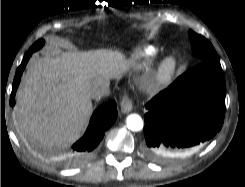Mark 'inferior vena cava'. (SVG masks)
I'll return each instance as SVG.
<instances>
[{"mask_svg":"<svg viewBox=\"0 0 245 187\" xmlns=\"http://www.w3.org/2000/svg\"><path fill=\"white\" fill-rule=\"evenodd\" d=\"M110 94L109 82H101L96 84L90 91V97L94 100H100Z\"/></svg>","mask_w":245,"mask_h":187,"instance_id":"inferior-vena-cava-1","label":"inferior vena cava"}]
</instances>
